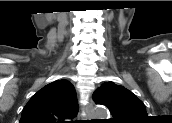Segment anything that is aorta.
I'll list each match as a JSON object with an SVG mask.
<instances>
[{"instance_id":"obj_1","label":"aorta","mask_w":172,"mask_h":123,"mask_svg":"<svg viewBox=\"0 0 172 123\" xmlns=\"http://www.w3.org/2000/svg\"><path fill=\"white\" fill-rule=\"evenodd\" d=\"M108 110L103 106H96L92 108V114L94 117L99 119H104L108 117Z\"/></svg>"}]
</instances>
